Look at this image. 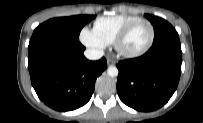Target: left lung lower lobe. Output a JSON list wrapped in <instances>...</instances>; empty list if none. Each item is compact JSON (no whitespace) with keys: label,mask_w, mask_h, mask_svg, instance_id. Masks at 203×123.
I'll return each instance as SVG.
<instances>
[{"label":"left lung lower lobe","mask_w":203,"mask_h":123,"mask_svg":"<svg viewBox=\"0 0 203 123\" xmlns=\"http://www.w3.org/2000/svg\"><path fill=\"white\" fill-rule=\"evenodd\" d=\"M178 35L158 41L142 56L120 61L117 92L123 103L138 111L165 105L175 92L181 73Z\"/></svg>","instance_id":"1"}]
</instances>
